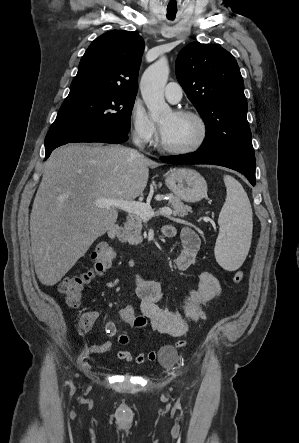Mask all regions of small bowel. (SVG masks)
Wrapping results in <instances>:
<instances>
[{
  "label": "small bowel",
  "mask_w": 299,
  "mask_h": 443,
  "mask_svg": "<svg viewBox=\"0 0 299 443\" xmlns=\"http://www.w3.org/2000/svg\"><path fill=\"white\" fill-rule=\"evenodd\" d=\"M162 231L168 238L174 237L176 234L173 225L164 226ZM181 240V249L173 259V266L176 270L184 271L197 262L200 238L193 228L185 227L181 233ZM134 280L135 292L140 299L138 315L141 318V324L136 330L137 332H142L146 324L149 323L150 327L158 333L171 337L181 336L190 323L200 318L203 308L221 293V285L217 277L204 271L195 288L190 289L183 297L171 301V305H167V297L160 283L146 279L140 274H136ZM87 314L91 317L92 323L99 317L98 312ZM105 332L109 337L118 335L116 324L113 321H108L105 324ZM118 342L122 346H128L130 337L127 331L118 335ZM184 345V341H178L171 349L175 350ZM111 348L112 342L105 341L97 345L84 346L83 354L87 358H91L94 355L106 353ZM117 357L126 362L143 365L146 361H155L157 353L148 351L134 355L130 350L122 349L117 352Z\"/></svg>",
  "instance_id": "1"
}]
</instances>
